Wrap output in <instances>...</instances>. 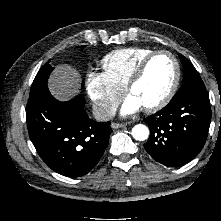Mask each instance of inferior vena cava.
<instances>
[{
	"mask_svg": "<svg viewBox=\"0 0 221 221\" xmlns=\"http://www.w3.org/2000/svg\"><path fill=\"white\" fill-rule=\"evenodd\" d=\"M115 110L107 107L104 104H97L93 106V116L97 121H108L115 115Z\"/></svg>",
	"mask_w": 221,
	"mask_h": 221,
	"instance_id": "602c4592",
	"label": "inferior vena cava"
}]
</instances>
